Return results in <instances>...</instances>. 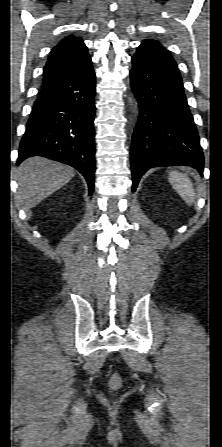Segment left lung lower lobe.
<instances>
[{
	"label": "left lung lower lobe",
	"instance_id": "left-lung-lower-lobe-1",
	"mask_svg": "<svg viewBox=\"0 0 222 447\" xmlns=\"http://www.w3.org/2000/svg\"><path fill=\"white\" fill-rule=\"evenodd\" d=\"M131 86L139 104L132 137L135 191L152 167L188 165L203 172L204 158L178 66L154 40H144L132 57Z\"/></svg>",
	"mask_w": 222,
	"mask_h": 447
}]
</instances>
